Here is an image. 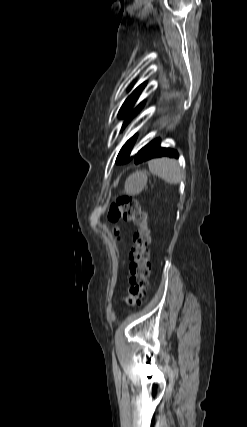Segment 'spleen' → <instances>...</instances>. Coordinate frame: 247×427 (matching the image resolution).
I'll list each match as a JSON object with an SVG mask.
<instances>
[{
    "mask_svg": "<svg viewBox=\"0 0 247 427\" xmlns=\"http://www.w3.org/2000/svg\"><path fill=\"white\" fill-rule=\"evenodd\" d=\"M149 170L153 175L162 178L169 184H178L183 179V172L176 160L169 158L155 159L149 162Z\"/></svg>",
    "mask_w": 247,
    "mask_h": 427,
    "instance_id": "spleen-1",
    "label": "spleen"
}]
</instances>
